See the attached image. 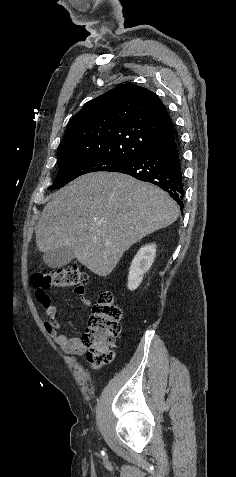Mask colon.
<instances>
[{
    "label": "colon",
    "instance_id": "1",
    "mask_svg": "<svg viewBox=\"0 0 236 477\" xmlns=\"http://www.w3.org/2000/svg\"><path fill=\"white\" fill-rule=\"evenodd\" d=\"M89 281V275L80 266L51 273L39 272L32 278L37 292L50 288L74 287L76 293L82 294ZM121 320L122 310L115 303L113 295L108 291H101L83 335V342L88 350L87 360L93 368H99L113 359V347L121 332Z\"/></svg>",
    "mask_w": 236,
    "mask_h": 477
}]
</instances>
